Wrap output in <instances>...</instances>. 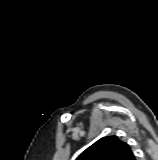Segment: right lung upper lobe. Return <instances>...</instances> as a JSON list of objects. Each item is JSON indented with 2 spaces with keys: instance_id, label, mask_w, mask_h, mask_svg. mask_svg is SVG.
<instances>
[{
  "instance_id": "cb5924a9",
  "label": "right lung upper lobe",
  "mask_w": 158,
  "mask_h": 160,
  "mask_svg": "<svg viewBox=\"0 0 158 160\" xmlns=\"http://www.w3.org/2000/svg\"><path fill=\"white\" fill-rule=\"evenodd\" d=\"M76 160H135V156L127 143L108 136L88 147Z\"/></svg>"
}]
</instances>
